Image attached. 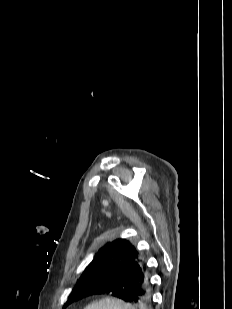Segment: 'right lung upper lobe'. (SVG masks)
<instances>
[{"instance_id": "obj_1", "label": "right lung upper lobe", "mask_w": 232, "mask_h": 309, "mask_svg": "<svg viewBox=\"0 0 232 309\" xmlns=\"http://www.w3.org/2000/svg\"><path fill=\"white\" fill-rule=\"evenodd\" d=\"M128 262H140L139 252L128 240L116 239L102 247L94 256L82 275L97 271L116 272L119 265Z\"/></svg>"}]
</instances>
